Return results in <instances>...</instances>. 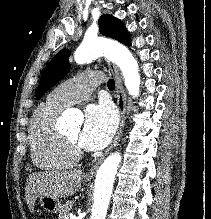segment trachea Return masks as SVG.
<instances>
[{"mask_svg":"<svg viewBox=\"0 0 211 219\" xmlns=\"http://www.w3.org/2000/svg\"><path fill=\"white\" fill-rule=\"evenodd\" d=\"M107 85H108V88H109L110 90H113L114 87H115V81H114L113 79H109Z\"/></svg>","mask_w":211,"mask_h":219,"instance_id":"obj_1","label":"trachea"}]
</instances>
